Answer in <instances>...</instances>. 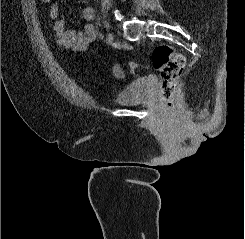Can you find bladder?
Here are the masks:
<instances>
[{
  "label": "bladder",
  "mask_w": 245,
  "mask_h": 239,
  "mask_svg": "<svg viewBox=\"0 0 245 239\" xmlns=\"http://www.w3.org/2000/svg\"><path fill=\"white\" fill-rule=\"evenodd\" d=\"M154 83L148 78H140L123 87L116 98V103L134 105L145 101L151 94Z\"/></svg>",
  "instance_id": "obj_1"
}]
</instances>
